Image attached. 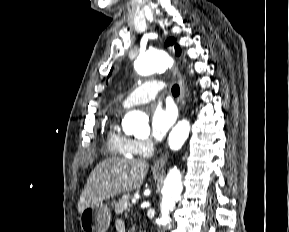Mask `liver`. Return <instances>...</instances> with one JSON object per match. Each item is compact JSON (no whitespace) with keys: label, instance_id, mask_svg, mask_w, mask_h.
Listing matches in <instances>:
<instances>
[{"label":"liver","instance_id":"liver-1","mask_svg":"<svg viewBox=\"0 0 289 232\" xmlns=\"http://www.w3.org/2000/svg\"><path fill=\"white\" fill-rule=\"evenodd\" d=\"M148 168V163L139 159L110 158L102 161L87 180L78 202V212L81 213L91 204L138 189Z\"/></svg>","mask_w":289,"mask_h":232}]
</instances>
